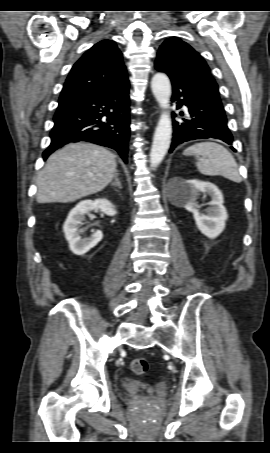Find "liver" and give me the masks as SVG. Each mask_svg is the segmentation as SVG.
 I'll return each instance as SVG.
<instances>
[{
  "label": "liver",
  "instance_id": "6515ba94",
  "mask_svg": "<svg viewBox=\"0 0 270 453\" xmlns=\"http://www.w3.org/2000/svg\"><path fill=\"white\" fill-rule=\"evenodd\" d=\"M116 159L106 148L69 144L53 153L37 177L36 201L68 203L103 190L114 178Z\"/></svg>",
  "mask_w": 270,
  "mask_h": 453
}]
</instances>
